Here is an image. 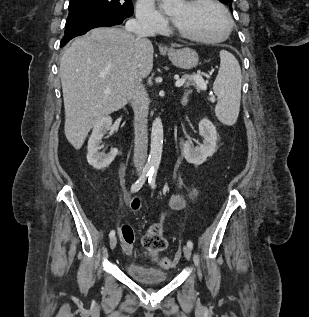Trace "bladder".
<instances>
[{
  "label": "bladder",
  "mask_w": 309,
  "mask_h": 317,
  "mask_svg": "<svg viewBox=\"0 0 309 317\" xmlns=\"http://www.w3.org/2000/svg\"><path fill=\"white\" fill-rule=\"evenodd\" d=\"M126 271L133 280L146 285L163 284L168 279L164 270L134 262L126 265Z\"/></svg>",
  "instance_id": "bladder-1"
}]
</instances>
